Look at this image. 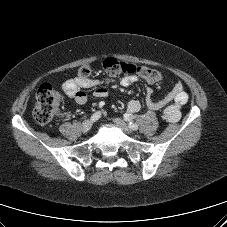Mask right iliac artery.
Returning a JSON list of instances; mask_svg holds the SVG:
<instances>
[{
	"label": "right iliac artery",
	"mask_w": 227,
	"mask_h": 227,
	"mask_svg": "<svg viewBox=\"0 0 227 227\" xmlns=\"http://www.w3.org/2000/svg\"><path fill=\"white\" fill-rule=\"evenodd\" d=\"M101 117V112L100 111H97L95 112L92 116H91V121L92 122H95L97 121L99 118Z\"/></svg>",
	"instance_id": "82829eb1"
}]
</instances>
